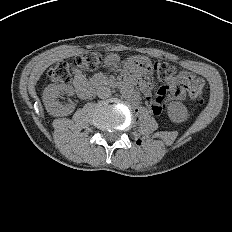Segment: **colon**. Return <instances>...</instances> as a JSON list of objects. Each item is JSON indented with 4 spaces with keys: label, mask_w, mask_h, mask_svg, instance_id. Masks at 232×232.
<instances>
[{
    "label": "colon",
    "mask_w": 232,
    "mask_h": 232,
    "mask_svg": "<svg viewBox=\"0 0 232 232\" xmlns=\"http://www.w3.org/2000/svg\"><path fill=\"white\" fill-rule=\"evenodd\" d=\"M101 61L102 57L99 53L90 52L82 54L70 62H61L55 65L49 71V79L54 83L69 82L74 72L95 70ZM154 70L158 78L164 83H169L175 78V68L168 63L157 62L154 65ZM202 86L197 82L190 83L186 86V92L192 101H199L201 99Z\"/></svg>",
    "instance_id": "obj_1"
}]
</instances>
